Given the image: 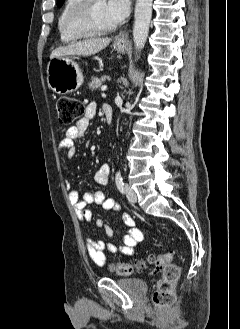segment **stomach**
I'll list each match as a JSON object with an SVG mask.
<instances>
[{
  "label": "stomach",
  "mask_w": 240,
  "mask_h": 329,
  "mask_svg": "<svg viewBox=\"0 0 240 329\" xmlns=\"http://www.w3.org/2000/svg\"><path fill=\"white\" fill-rule=\"evenodd\" d=\"M118 52L124 53L126 45L115 42ZM83 74L73 57H54L47 65V83L49 88L59 95L76 91L83 83Z\"/></svg>",
  "instance_id": "0dacf381"
}]
</instances>
